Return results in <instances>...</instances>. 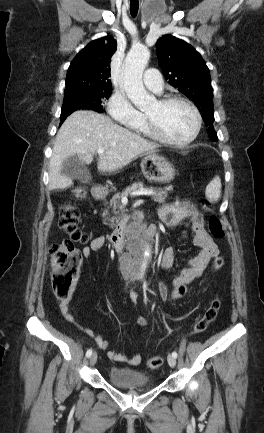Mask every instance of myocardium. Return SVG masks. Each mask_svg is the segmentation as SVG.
<instances>
[{
    "label": "myocardium",
    "instance_id": "1",
    "mask_svg": "<svg viewBox=\"0 0 264 433\" xmlns=\"http://www.w3.org/2000/svg\"><path fill=\"white\" fill-rule=\"evenodd\" d=\"M157 103L160 106H168L174 103H180L185 105L186 107H188L194 117H195V128L193 130V132L191 133V135L189 137H187L186 139L182 140V141H177V140H173L171 138H169L168 136H166L163 131L160 129V127L158 126V124L154 121V119H152L149 115H147L145 113V121L147 124V127L151 133V135L156 138L157 140H159L162 143L174 146V147H178V148H184L187 147L188 145H190L191 143H193L196 138L198 137L201 128H202V116L200 111L198 110V108L189 100L183 98V97H179V96H168V97H164V98H160L157 100Z\"/></svg>",
    "mask_w": 264,
    "mask_h": 433
}]
</instances>
